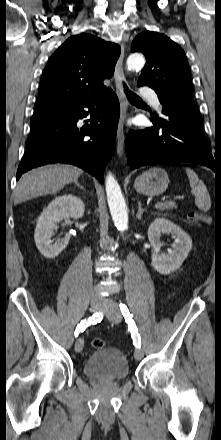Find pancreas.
Listing matches in <instances>:
<instances>
[{
    "label": "pancreas",
    "mask_w": 221,
    "mask_h": 440,
    "mask_svg": "<svg viewBox=\"0 0 221 440\" xmlns=\"http://www.w3.org/2000/svg\"><path fill=\"white\" fill-rule=\"evenodd\" d=\"M176 208L175 202L174 201H166L164 203H161L158 207L159 210L164 211V210H170Z\"/></svg>",
    "instance_id": "pancreas-1"
}]
</instances>
